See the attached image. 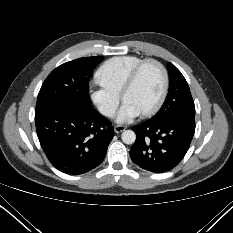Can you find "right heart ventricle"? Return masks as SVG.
Instances as JSON below:
<instances>
[{"instance_id": "e07e8e85", "label": "right heart ventricle", "mask_w": 233, "mask_h": 233, "mask_svg": "<svg viewBox=\"0 0 233 233\" xmlns=\"http://www.w3.org/2000/svg\"><path fill=\"white\" fill-rule=\"evenodd\" d=\"M144 59L134 55L116 56L105 61L97 70L99 83L121 94L122 88L134 67Z\"/></svg>"}]
</instances>
